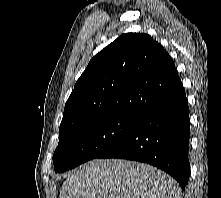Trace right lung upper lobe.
Segmentation results:
<instances>
[{"label":"right lung upper lobe","instance_id":"cb5924a9","mask_svg":"<svg viewBox=\"0 0 221 198\" xmlns=\"http://www.w3.org/2000/svg\"><path fill=\"white\" fill-rule=\"evenodd\" d=\"M181 84L162 45L144 33L123 34L92 58L76 82L59 135L114 114L141 116Z\"/></svg>","mask_w":221,"mask_h":198}]
</instances>
